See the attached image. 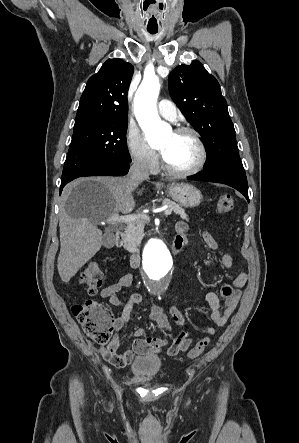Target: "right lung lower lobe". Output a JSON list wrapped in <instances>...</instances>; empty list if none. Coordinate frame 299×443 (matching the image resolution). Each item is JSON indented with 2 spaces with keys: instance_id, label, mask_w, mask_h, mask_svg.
Returning <instances> with one entry per match:
<instances>
[{
  "instance_id": "98d812e1",
  "label": "right lung lower lobe",
  "mask_w": 299,
  "mask_h": 443,
  "mask_svg": "<svg viewBox=\"0 0 299 443\" xmlns=\"http://www.w3.org/2000/svg\"><path fill=\"white\" fill-rule=\"evenodd\" d=\"M129 163L130 162H116V163H108L103 164L69 179L68 181L61 182L60 186V194L62 192L63 187L70 181L83 176H123L126 175L129 171Z\"/></svg>"
}]
</instances>
